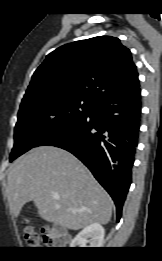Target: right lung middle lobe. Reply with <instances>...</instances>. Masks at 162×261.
I'll return each instance as SVG.
<instances>
[{
	"instance_id": "dd1d6c3e",
	"label": "right lung middle lobe",
	"mask_w": 162,
	"mask_h": 261,
	"mask_svg": "<svg viewBox=\"0 0 162 261\" xmlns=\"http://www.w3.org/2000/svg\"><path fill=\"white\" fill-rule=\"evenodd\" d=\"M95 102L80 96L54 95L23 100L15 126L10 162L53 130L87 115Z\"/></svg>"
}]
</instances>
